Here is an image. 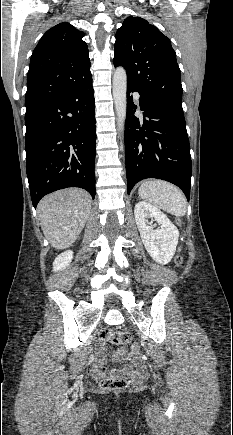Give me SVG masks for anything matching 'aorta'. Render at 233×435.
Masks as SVG:
<instances>
[{
    "mask_svg": "<svg viewBox=\"0 0 233 435\" xmlns=\"http://www.w3.org/2000/svg\"><path fill=\"white\" fill-rule=\"evenodd\" d=\"M113 99L115 104V111L117 115V126L120 132L124 131V124L126 120L127 111V76L126 71L122 67L116 68L113 74Z\"/></svg>",
    "mask_w": 233,
    "mask_h": 435,
    "instance_id": "obj_1",
    "label": "aorta"
}]
</instances>
